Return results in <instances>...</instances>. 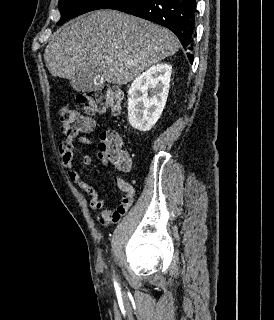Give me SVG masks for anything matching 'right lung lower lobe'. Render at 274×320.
<instances>
[{
    "instance_id": "obj_1",
    "label": "right lung lower lobe",
    "mask_w": 274,
    "mask_h": 320,
    "mask_svg": "<svg viewBox=\"0 0 274 320\" xmlns=\"http://www.w3.org/2000/svg\"><path fill=\"white\" fill-rule=\"evenodd\" d=\"M103 9L119 10L167 27L182 46L192 50L196 0H113ZM193 61V55L188 54Z\"/></svg>"
}]
</instances>
